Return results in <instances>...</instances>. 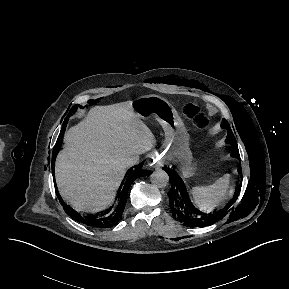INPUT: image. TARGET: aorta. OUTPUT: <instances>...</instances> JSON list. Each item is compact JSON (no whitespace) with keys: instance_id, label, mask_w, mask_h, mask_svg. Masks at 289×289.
<instances>
[{"instance_id":"762f6f07","label":"aorta","mask_w":289,"mask_h":289,"mask_svg":"<svg viewBox=\"0 0 289 289\" xmlns=\"http://www.w3.org/2000/svg\"><path fill=\"white\" fill-rule=\"evenodd\" d=\"M150 180L155 187L164 188L169 183V176L164 170L157 169L151 174Z\"/></svg>"}]
</instances>
